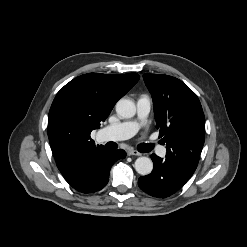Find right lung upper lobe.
<instances>
[{
  "mask_svg": "<svg viewBox=\"0 0 247 247\" xmlns=\"http://www.w3.org/2000/svg\"><path fill=\"white\" fill-rule=\"evenodd\" d=\"M138 80L137 73H89L71 80L57 93L49 111L48 137L65 179L72 177L82 162L106 150L95 145L90 133Z\"/></svg>",
  "mask_w": 247,
  "mask_h": 247,
  "instance_id": "obj_1",
  "label": "right lung upper lobe"
}]
</instances>
